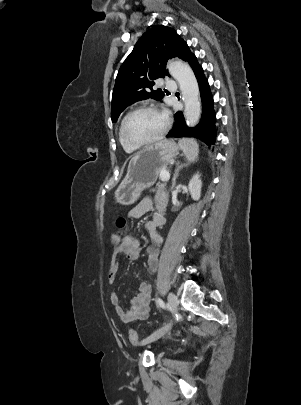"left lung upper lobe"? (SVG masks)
I'll return each instance as SVG.
<instances>
[{"label":"left lung upper lobe","instance_id":"obj_1","mask_svg":"<svg viewBox=\"0 0 301 405\" xmlns=\"http://www.w3.org/2000/svg\"><path fill=\"white\" fill-rule=\"evenodd\" d=\"M192 54L187 43L168 26L159 25L141 37L122 64L112 94L111 119L116 122L120 113L132 103L153 98L160 100L164 93L153 90L155 80L168 75V59L179 57L187 61Z\"/></svg>","mask_w":301,"mask_h":405}]
</instances>
